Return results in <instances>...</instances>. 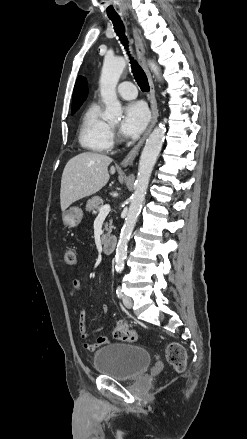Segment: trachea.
Segmentation results:
<instances>
[{
    "label": "trachea",
    "instance_id": "trachea-1",
    "mask_svg": "<svg viewBox=\"0 0 247 439\" xmlns=\"http://www.w3.org/2000/svg\"><path fill=\"white\" fill-rule=\"evenodd\" d=\"M109 19L112 21L114 25V30L119 36V40L124 45L125 49L128 50V40L127 37L125 36V28L122 23V20L118 16H109ZM127 53L129 54V52ZM130 63H131L132 73L134 75L137 84L139 85L142 91L148 92L150 90V87L145 72L139 66L136 60H134L133 57L131 56H130Z\"/></svg>",
    "mask_w": 247,
    "mask_h": 439
}]
</instances>
